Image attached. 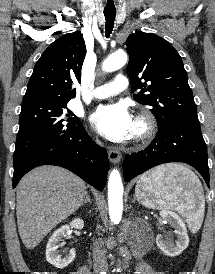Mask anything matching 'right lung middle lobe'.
I'll use <instances>...</instances> for the list:
<instances>
[{"label":"right lung middle lobe","instance_id":"1","mask_svg":"<svg viewBox=\"0 0 215 274\" xmlns=\"http://www.w3.org/2000/svg\"><path fill=\"white\" fill-rule=\"evenodd\" d=\"M14 163L41 144L81 127L79 119L67 108V101H35L22 105Z\"/></svg>","mask_w":215,"mask_h":274}]
</instances>
